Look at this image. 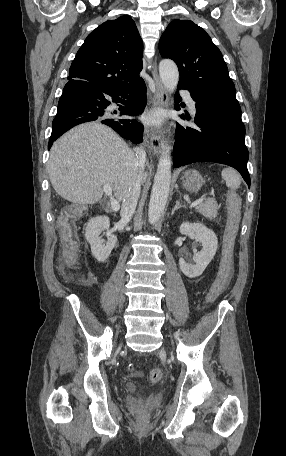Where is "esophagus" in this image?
Returning <instances> with one entry per match:
<instances>
[{
  "label": "esophagus",
  "mask_w": 286,
  "mask_h": 456,
  "mask_svg": "<svg viewBox=\"0 0 286 456\" xmlns=\"http://www.w3.org/2000/svg\"><path fill=\"white\" fill-rule=\"evenodd\" d=\"M152 75L154 79L156 93L153 96L151 102L152 107H164L167 103V94L166 91L161 83L157 72L156 61L154 60L152 63ZM150 143L156 155H160L162 153V149L164 147V143L162 140V134L159 130L151 129L150 131Z\"/></svg>",
  "instance_id": "1"
}]
</instances>
